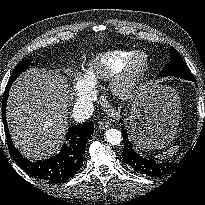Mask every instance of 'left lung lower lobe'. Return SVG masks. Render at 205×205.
<instances>
[{
  "label": "left lung lower lobe",
  "instance_id": "left-lung-lower-lobe-1",
  "mask_svg": "<svg viewBox=\"0 0 205 205\" xmlns=\"http://www.w3.org/2000/svg\"><path fill=\"white\" fill-rule=\"evenodd\" d=\"M188 80L195 81L194 78ZM121 131L124 137V150L122 152L123 159L125 163L131 166L136 172L156 177L172 172L175 169V166L178 165L177 163H156L151 159L142 157L133 149V145L128 139L125 127H123Z\"/></svg>",
  "mask_w": 205,
  "mask_h": 205
}]
</instances>
